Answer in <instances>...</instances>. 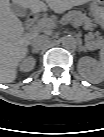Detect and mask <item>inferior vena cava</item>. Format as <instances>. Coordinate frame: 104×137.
<instances>
[{"instance_id":"1","label":"inferior vena cava","mask_w":104,"mask_h":137,"mask_svg":"<svg viewBox=\"0 0 104 137\" xmlns=\"http://www.w3.org/2000/svg\"><path fill=\"white\" fill-rule=\"evenodd\" d=\"M49 42L47 36L44 35H36L33 37L31 41V45L35 50L44 49L46 44Z\"/></svg>"}]
</instances>
